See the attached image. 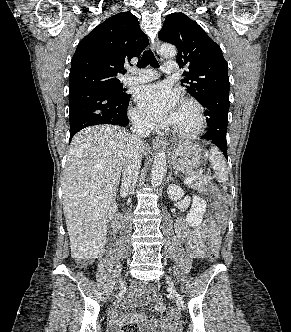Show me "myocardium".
Wrapping results in <instances>:
<instances>
[{"label": "myocardium", "instance_id": "f54148a6", "mask_svg": "<svg viewBox=\"0 0 291 332\" xmlns=\"http://www.w3.org/2000/svg\"><path fill=\"white\" fill-rule=\"evenodd\" d=\"M181 104L190 106L193 109L196 118V124L192 129L189 130H182L171 126V132L174 135L182 138L195 137L202 133L206 127V117L203 108L196 100L191 98L182 99Z\"/></svg>", "mask_w": 291, "mask_h": 332}]
</instances>
